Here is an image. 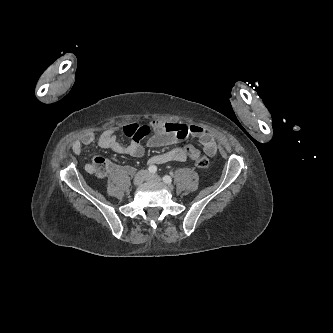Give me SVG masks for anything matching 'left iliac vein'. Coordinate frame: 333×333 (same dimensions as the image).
Wrapping results in <instances>:
<instances>
[{"label":"left iliac vein","mask_w":333,"mask_h":333,"mask_svg":"<svg viewBox=\"0 0 333 333\" xmlns=\"http://www.w3.org/2000/svg\"><path fill=\"white\" fill-rule=\"evenodd\" d=\"M147 181H153V182H161V177L156 174H147Z\"/></svg>","instance_id":"1"}]
</instances>
